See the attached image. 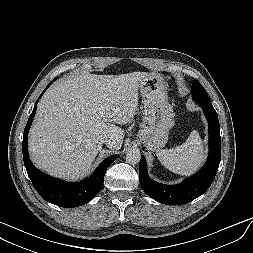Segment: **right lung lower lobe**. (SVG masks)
<instances>
[{"label": "right lung lower lobe", "instance_id": "right-lung-lower-lobe-1", "mask_svg": "<svg viewBox=\"0 0 253 253\" xmlns=\"http://www.w3.org/2000/svg\"><path fill=\"white\" fill-rule=\"evenodd\" d=\"M49 85L46 87V89L49 87ZM44 91L40 97L43 95ZM40 97L38 99H40ZM36 108L37 105H35L24 129L22 143L24 165L34 188L47 202L60 207H77L88 203L100 191L103 185L104 175L107 167L117 159L118 155L107 157L98 166L94 173L83 182H66L52 178L40 172L30 161L27 148L28 131L35 116Z\"/></svg>", "mask_w": 253, "mask_h": 253}]
</instances>
